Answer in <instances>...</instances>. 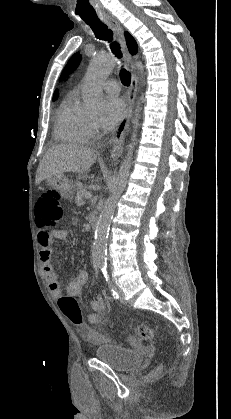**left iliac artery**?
Listing matches in <instances>:
<instances>
[{"instance_id": "left-iliac-artery-1", "label": "left iliac artery", "mask_w": 231, "mask_h": 419, "mask_svg": "<svg viewBox=\"0 0 231 419\" xmlns=\"http://www.w3.org/2000/svg\"><path fill=\"white\" fill-rule=\"evenodd\" d=\"M101 270H102V272H103V275H104V277H105L106 281L108 282V286H109V289H110V292H111V294H112L113 298H114V299H118V298H119V295H118V293H117L116 289L112 286V284H111V282H110L109 276H108V274H107L106 265L102 266V267H101Z\"/></svg>"}]
</instances>
